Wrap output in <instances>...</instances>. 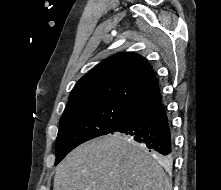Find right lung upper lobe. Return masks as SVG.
I'll return each mask as SVG.
<instances>
[{
	"mask_svg": "<svg viewBox=\"0 0 221 190\" xmlns=\"http://www.w3.org/2000/svg\"><path fill=\"white\" fill-rule=\"evenodd\" d=\"M160 92L147 60L132 52L116 54L90 70L75 85L66 107L117 102L135 108Z\"/></svg>",
	"mask_w": 221,
	"mask_h": 190,
	"instance_id": "cb5924a9",
	"label": "right lung upper lobe"
}]
</instances>
